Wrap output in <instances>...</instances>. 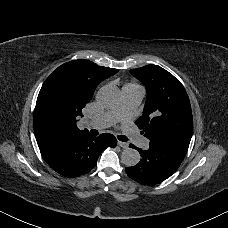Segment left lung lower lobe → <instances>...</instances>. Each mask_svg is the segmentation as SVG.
<instances>
[{
    "instance_id": "0a47b994",
    "label": "left lung lower lobe",
    "mask_w": 228,
    "mask_h": 228,
    "mask_svg": "<svg viewBox=\"0 0 228 228\" xmlns=\"http://www.w3.org/2000/svg\"><path fill=\"white\" fill-rule=\"evenodd\" d=\"M139 151L140 162L125 168L130 178L138 183L153 185L169 178L180 166L187 150L163 141L150 140L147 150L130 145Z\"/></svg>"
}]
</instances>
